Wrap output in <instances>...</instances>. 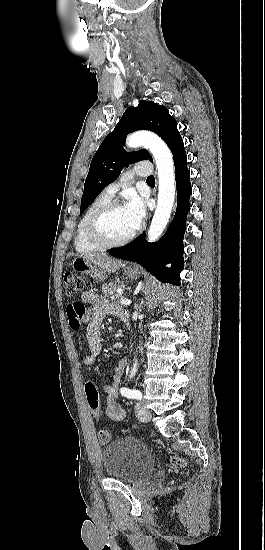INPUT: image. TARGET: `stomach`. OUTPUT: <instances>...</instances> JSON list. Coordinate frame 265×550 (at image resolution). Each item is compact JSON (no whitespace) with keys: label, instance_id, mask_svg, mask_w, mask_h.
Listing matches in <instances>:
<instances>
[{"label":"stomach","instance_id":"obj_1","mask_svg":"<svg viewBox=\"0 0 265 550\" xmlns=\"http://www.w3.org/2000/svg\"><path fill=\"white\" fill-rule=\"evenodd\" d=\"M71 266L75 271L89 275L99 281L103 280L105 277L104 271L99 266L94 264L92 261L86 260L82 257L75 258L72 261ZM125 274L129 278L134 279L138 277L139 271L137 268L127 267L125 269Z\"/></svg>","mask_w":265,"mask_h":550}]
</instances>
